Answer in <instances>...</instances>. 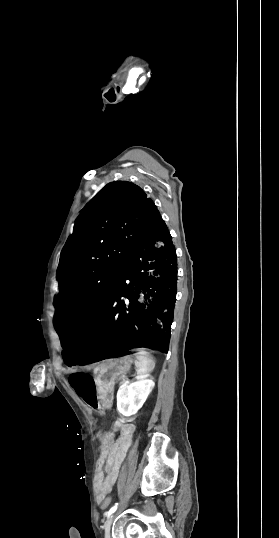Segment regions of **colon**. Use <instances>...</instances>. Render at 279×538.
<instances>
[{
    "mask_svg": "<svg viewBox=\"0 0 279 538\" xmlns=\"http://www.w3.org/2000/svg\"><path fill=\"white\" fill-rule=\"evenodd\" d=\"M113 439H114V434H113V433H106V434L104 435V441H105L106 443L112 442ZM97 473H99L98 465H97ZM110 503H111L110 498H109V497H106V498H104L103 501H102V507H103V508H107V507L110 505Z\"/></svg>",
    "mask_w": 279,
    "mask_h": 538,
    "instance_id": "obj_1",
    "label": "colon"
}]
</instances>
